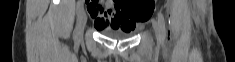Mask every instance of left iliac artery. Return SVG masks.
I'll use <instances>...</instances> for the list:
<instances>
[{
	"mask_svg": "<svg viewBox=\"0 0 235 62\" xmlns=\"http://www.w3.org/2000/svg\"><path fill=\"white\" fill-rule=\"evenodd\" d=\"M158 25H159L160 31L162 33V36L165 39V36H166L165 20H164L163 14L161 12L158 13Z\"/></svg>",
	"mask_w": 235,
	"mask_h": 62,
	"instance_id": "obj_1",
	"label": "left iliac artery"
}]
</instances>
